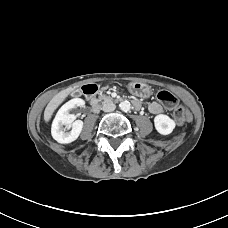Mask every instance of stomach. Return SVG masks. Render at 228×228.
<instances>
[{"label":"stomach","instance_id":"obj_1","mask_svg":"<svg viewBox=\"0 0 228 228\" xmlns=\"http://www.w3.org/2000/svg\"><path fill=\"white\" fill-rule=\"evenodd\" d=\"M128 90L133 94L141 98H147L151 94V88L146 83L140 81H133L127 85Z\"/></svg>","mask_w":228,"mask_h":228}]
</instances>
